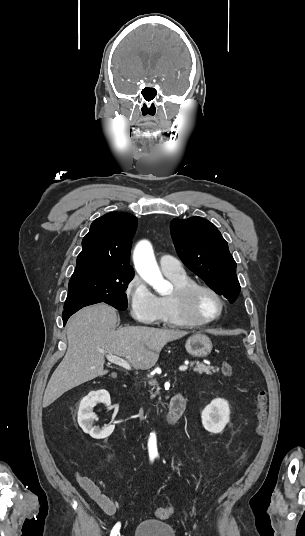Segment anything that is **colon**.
<instances>
[{"instance_id":"obj_1","label":"colon","mask_w":305,"mask_h":536,"mask_svg":"<svg viewBox=\"0 0 305 536\" xmlns=\"http://www.w3.org/2000/svg\"><path fill=\"white\" fill-rule=\"evenodd\" d=\"M221 372L226 377L234 376V369L229 361H223L221 363ZM267 394L265 391H259L256 395L257 405V432L261 433L266 423V407H267ZM171 506H159L155 509L154 514L156 518L166 519L172 515Z\"/></svg>"}]
</instances>
